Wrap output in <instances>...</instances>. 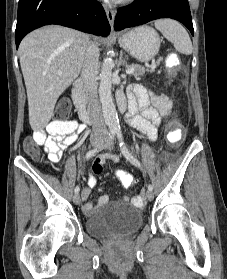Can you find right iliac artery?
Returning <instances> with one entry per match:
<instances>
[{"mask_svg": "<svg viewBox=\"0 0 227 279\" xmlns=\"http://www.w3.org/2000/svg\"><path fill=\"white\" fill-rule=\"evenodd\" d=\"M115 136H116V131H110V133H109V139L107 140V143H106L103 147L96 148V149H92V150H90L89 152H87L85 158H86V159L92 158L96 153H98L99 151H101L104 147L110 145V143L115 139ZM79 191H80L79 186H76V188H75V190H74L75 194H78Z\"/></svg>", "mask_w": 227, "mask_h": 279, "instance_id": "82829eb1", "label": "right iliac artery"}]
</instances>
